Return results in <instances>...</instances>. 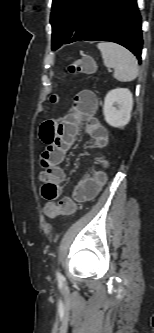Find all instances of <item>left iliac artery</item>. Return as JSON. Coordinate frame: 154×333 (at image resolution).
I'll return each instance as SVG.
<instances>
[{
    "mask_svg": "<svg viewBox=\"0 0 154 333\" xmlns=\"http://www.w3.org/2000/svg\"><path fill=\"white\" fill-rule=\"evenodd\" d=\"M56 276H57V278L59 279V280H62L64 277L62 276V274L61 273H59V272H56Z\"/></svg>",
    "mask_w": 154,
    "mask_h": 333,
    "instance_id": "1",
    "label": "left iliac artery"
}]
</instances>
